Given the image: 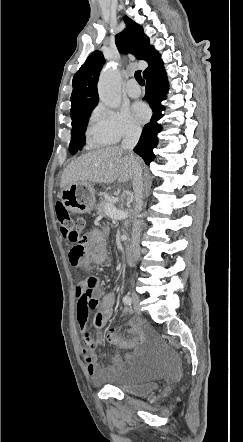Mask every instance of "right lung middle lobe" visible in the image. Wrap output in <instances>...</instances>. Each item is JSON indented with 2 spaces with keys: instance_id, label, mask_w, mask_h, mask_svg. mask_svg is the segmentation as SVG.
<instances>
[{
  "instance_id": "right-lung-middle-lobe-1",
  "label": "right lung middle lobe",
  "mask_w": 243,
  "mask_h": 442,
  "mask_svg": "<svg viewBox=\"0 0 243 442\" xmlns=\"http://www.w3.org/2000/svg\"><path fill=\"white\" fill-rule=\"evenodd\" d=\"M91 113L86 111L72 121L71 130V142L69 145V151L71 154H75L85 144L84 131L88 125V117Z\"/></svg>"
}]
</instances>
